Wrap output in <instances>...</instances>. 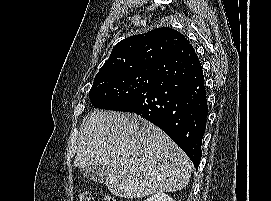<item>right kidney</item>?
I'll return each mask as SVG.
<instances>
[{"label":"right kidney","instance_id":"right-kidney-1","mask_svg":"<svg viewBox=\"0 0 271 201\" xmlns=\"http://www.w3.org/2000/svg\"><path fill=\"white\" fill-rule=\"evenodd\" d=\"M144 201H174L168 194L156 193Z\"/></svg>","mask_w":271,"mask_h":201}]
</instances>
